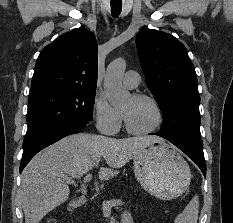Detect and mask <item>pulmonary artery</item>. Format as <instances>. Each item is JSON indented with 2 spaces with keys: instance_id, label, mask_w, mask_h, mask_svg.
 <instances>
[{
  "instance_id": "1",
  "label": "pulmonary artery",
  "mask_w": 233,
  "mask_h": 223,
  "mask_svg": "<svg viewBox=\"0 0 233 223\" xmlns=\"http://www.w3.org/2000/svg\"><path fill=\"white\" fill-rule=\"evenodd\" d=\"M123 83L129 89H135L140 83V75L134 70L127 71L123 76Z\"/></svg>"
}]
</instances>
